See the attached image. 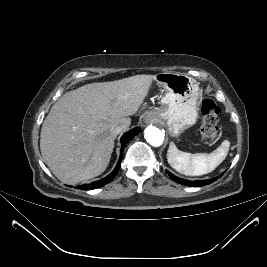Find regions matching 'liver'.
<instances>
[{
	"instance_id": "obj_1",
	"label": "liver",
	"mask_w": 267,
	"mask_h": 267,
	"mask_svg": "<svg viewBox=\"0 0 267 267\" xmlns=\"http://www.w3.org/2000/svg\"><path fill=\"white\" fill-rule=\"evenodd\" d=\"M155 75L91 83L63 94L52 106L40 134L42 157L65 184H77L107 168L116 124L131 123Z\"/></svg>"
}]
</instances>
